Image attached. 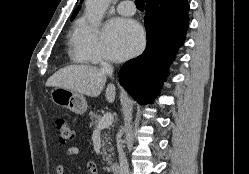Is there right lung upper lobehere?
<instances>
[{
	"label": "right lung upper lobe",
	"mask_w": 249,
	"mask_h": 174,
	"mask_svg": "<svg viewBox=\"0 0 249 174\" xmlns=\"http://www.w3.org/2000/svg\"><path fill=\"white\" fill-rule=\"evenodd\" d=\"M83 1V0H82ZM167 1H170V0H146V4H160V3H165ZM80 9V6L77 7V9L74 11L72 17H71V20L74 19V17L76 16L78 10Z\"/></svg>",
	"instance_id": "1"
}]
</instances>
